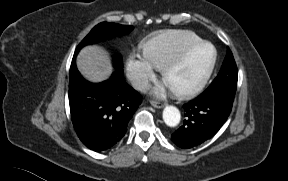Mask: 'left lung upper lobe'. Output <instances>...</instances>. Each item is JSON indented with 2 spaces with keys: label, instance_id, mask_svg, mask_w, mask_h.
I'll return each mask as SVG.
<instances>
[{
  "label": "left lung upper lobe",
  "instance_id": "5c2ea615",
  "mask_svg": "<svg viewBox=\"0 0 288 181\" xmlns=\"http://www.w3.org/2000/svg\"><path fill=\"white\" fill-rule=\"evenodd\" d=\"M237 66L230 49L221 67V70L211 85L201 94L204 96L218 94L234 100L237 88Z\"/></svg>",
  "mask_w": 288,
  "mask_h": 181
}]
</instances>
